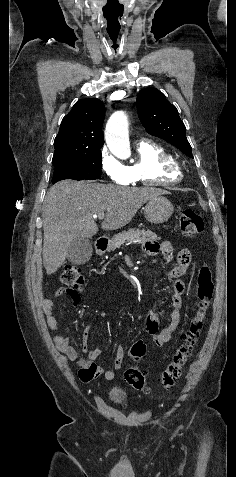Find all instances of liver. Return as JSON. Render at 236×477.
Listing matches in <instances>:
<instances>
[{"label": "liver", "instance_id": "obj_1", "mask_svg": "<svg viewBox=\"0 0 236 477\" xmlns=\"http://www.w3.org/2000/svg\"><path fill=\"white\" fill-rule=\"evenodd\" d=\"M168 194L154 187H122L64 180L52 186L43 206V264L51 275L64 263L71 242L98 232L93 215L106 212L103 230L129 224L150 199Z\"/></svg>", "mask_w": 236, "mask_h": 477}]
</instances>
